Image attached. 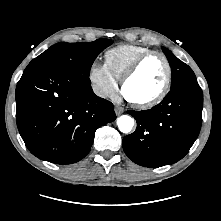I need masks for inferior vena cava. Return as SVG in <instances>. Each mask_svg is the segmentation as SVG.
Wrapping results in <instances>:
<instances>
[{
  "mask_svg": "<svg viewBox=\"0 0 221 221\" xmlns=\"http://www.w3.org/2000/svg\"><path fill=\"white\" fill-rule=\"evenodd\" d=\"M95 93L100 96V97H106L107 96V92L104 90H100V89H96Z\"/></svg>",
  "mask_w": 221,
  "mask_h": 221,
  "instance_id": "inferior-vena-cava-1",
  "label": "inferior vena cava"
}]
</instances>
